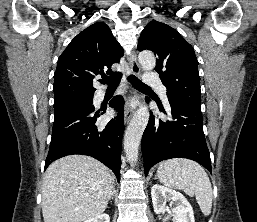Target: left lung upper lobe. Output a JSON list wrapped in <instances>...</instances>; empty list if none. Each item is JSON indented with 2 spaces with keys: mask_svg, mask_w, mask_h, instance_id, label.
Instances as JSON below:
<instances>
[{
  "mask_svg": "<svg viewBox=\"0 0 257 222\" xmlns=\"http://www.w3.org/2000/svg\"><path fill=\"white\" fill-rule=\"evenodd\" d=\"M145 49L157 56L155 70L167 88V96L201 105L198 62L193 47L172 27L152 20L138 42V50Z\"/></svg>",
  "mask_w": 257,
  "mask_h": 222,
  "instance_id": "left-lung-upper-lobe-1",
  "label": "left lung upper lobe"
}]
</instances>
